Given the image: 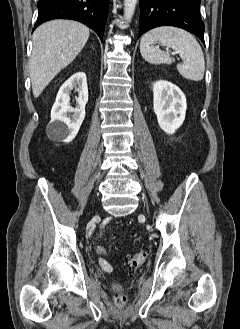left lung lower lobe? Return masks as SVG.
Returning a JSON list of instances; mask_svg holds the SVG:
<instances>
[{
  "instance_id": "1",
  "label": "left lung lower lobe",
  "mask_w": 240,
  "mask_h": 329,
  "mask_svg": "<svg viewBox=\"0 0 240 329\" xmlns=\"http://www.w3.org/2000/svg\"><path fill=\"white\" fill-rule=\"evenodd\" d=\"M159 26L183 28L204 43L200 0H140L139 37Z\"/></svg>"
}]
</instances>
